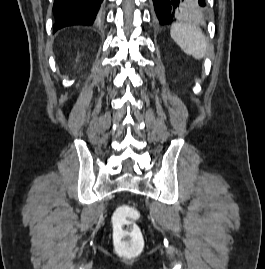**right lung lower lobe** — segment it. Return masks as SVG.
I'll use <instances>...</instances> for the list:
<instances>
[{
  "label": "right lung lower lobe",
  "instance_id": "1",
  "mask_svg": "<svg viewBox=\"0 0 265 269\" xmlns=\"http://www.w3.org/2000/svg\"><path fill=\"white\" fill-rule=\"evenodd\" d=\"M103 0H54L53 32L72 25H91Z\"/></svg>",
  "mask_w": 265,
  "mask_h": 269
}]
</instances>
